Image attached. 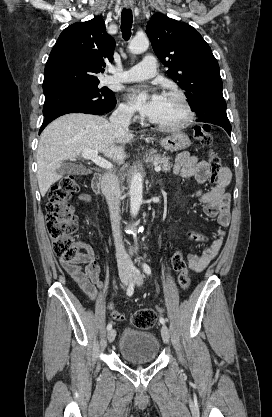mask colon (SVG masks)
I'll list each match as a JSON object with an SVG mask.
<instances>
[{
    "label": "colon",
    "mask_w": 272,
    "mask_h": 417,
    "mask_svg": "<svg viewBox=\"0 0 272 417\" xmlns=\"http://www.w3.org/2000/svg\"><path fill=\"white\" fill-rule=\"evenodd\" d=\"M195 138L205 145L212 144V128L209 125H197L194 128ZM209 166L212 171V181L216 179L222 169L219 156L212 149L209 153ZM79 182L74 175H67L54 184L48 192L46 225L53 241L54 252L69 264L78 262L79 255L74 236L78 224L69 199L78 191ZM174 269L178 272V283L182 289L190 286V275L187 265L180 252L172 257ZM115 319H122V315L113 312ZM156 313L151 309H139L131 316V323L139 329L152 328L156 323Z\"/></svg>",
    "instance_id": "obj_1"
}]
</instances>
